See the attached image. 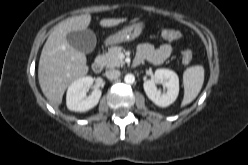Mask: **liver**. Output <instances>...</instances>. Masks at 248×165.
Instances as JSON below:
<instances>
[{
  "mask_svg": "<svg viewBox=\"0 0 248 165\" xmlns=\"http://www.w3.org/2000/svg\"><path fill=\"white\" fill-rule=\"evenodd\" d=\"M90 21L91 15L84 14L60 22L43 46L39 60L38 80L43 94L55 107L61 104L69 84L88 72L85 54L73 48L66 36L71 31L85 30ZM124 21H126L125 18L102 19L100 25L112 27Z\"/></svg>",
  "mask_w": 248,
  "mask_h": 165,
  "instance_id": "1",
  "label": "liver"
}]
</instances>
